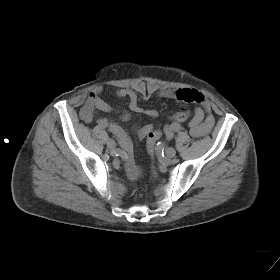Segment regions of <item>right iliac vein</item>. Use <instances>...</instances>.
Masks as SVG:
<instances>
[{
	"instance_id": "63e3f726",
	"label": "right iliac vein",
	"mask_w": 280,
	"mask_h": 280,
	"mask_svg": "<svg viewBox=\"0 0 280 280\" xmlns=\"http://www.w3.org/2000/svg\"><path fill=\"white\" fill-rule=\"evenodd\" d=\"M107 147H108L109 149H114V148L116 147L115 141H114L113 139H109V140L107 141Z\"/></svg>"
}]
</instances>
